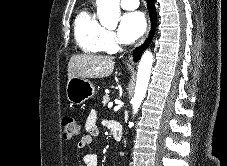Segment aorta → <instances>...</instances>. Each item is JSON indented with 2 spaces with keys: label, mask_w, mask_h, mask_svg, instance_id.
<instances>
[{
  "label": "aorta",
  "mask_w": 227,
  "mask_h": 166,
  "mask_svg": "<svg viewBox=\"0 0 227 166\" xmlns=\"http://www.w3.org/2000/svg\"><path fill=\"white\" fill-rule=\"evenodd\" d=\"M119 2L120 0H96L97 14L99 15L100 23L102 25L108 27L117 26L120 16ZM152 64L153 54L147 50L142 55L138 66L135 93L132 99L133 114L138 112V109L145 97Z\"/></svg>",
  "instance_id": "1"
}]
</instances>
